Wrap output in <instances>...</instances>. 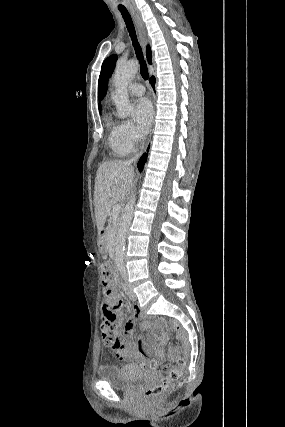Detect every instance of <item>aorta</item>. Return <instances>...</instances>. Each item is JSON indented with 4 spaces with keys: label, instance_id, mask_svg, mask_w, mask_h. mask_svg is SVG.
Wrapping results in <instances>:
<instances>
[{
    "label": "aorta",
    "instance_id": "762f6f07",
    "mask_svg": "<svg viewBox=\"0 0 285 427\" xmlns=\"http://www.w3.org/2000/svg\"><path fill=\"white\" fill-rule=\"evenodd\" d=\"M138 67L139 65L136 60H130L125 63H118L116 66L113 77L115 93L112 96V99L116 105L117 114L120 118L128 117L133 110V106L129 100L127 86L135 77L138 71ZM135 201L136 195L133 194L130 201L125 206L118 228L116 237L115 264L119 269H124L125 240L127 230L132 221Z\"/></svg>",
    "mask_w": 285,
    "mask_h": 427
}]
</instances>
